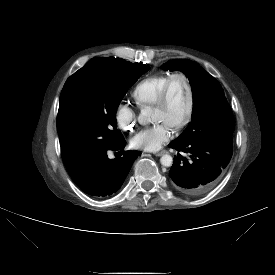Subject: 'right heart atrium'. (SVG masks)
<instances>
[{
  "label": "right heart atrium",
  "instance_id": "right-heart-atrium-1",
  "mask_svg": "<svg viewBox=\"0 0 275 275\" xmlns=\"http://www.w3.org/2000/svg\"><path fill=\"white\" fill-rule=\"evenodd\" d=\"M114 117L119 128L130 131L135 126L137 113L126 102H119L115 108Z\"/></svg>",
  "mask_w": 275,
  "mask_h": 275
}]
</instances>
